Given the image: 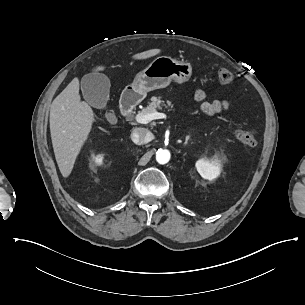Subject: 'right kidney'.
Returning <instances> with one entry per match:
<instances>
[{
    "instance_id": "1",
    "label": "right kidney",
    "mask_w": 305,
    "mask_h": 305,
    "mask_svg": "<svg viewBox=\"0 0 305 305\" xmlns=\"http://www.w3.org/2000/svg\"><path fill=\"white\" fill-rule=\"evenodd\" d=\"M102 158L103 155L100 156H94L91 160H90V164L93 168H96L98 165H100L102 163Z\"/></svg>"
}]
</instances>
